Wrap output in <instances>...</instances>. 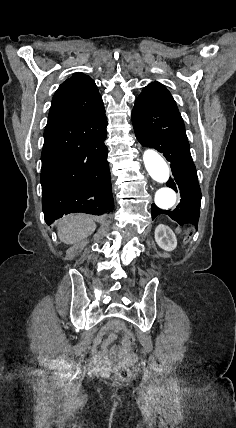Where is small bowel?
Segmentation results:
<instances>
[{"mask_svg": "<svg viewBox=\"0 0 236 428\" xmlns=\"http://www.w3.org/2000/svg\"><path fill=\"white\" fill-rule=\"evenodd\" d=\"M124 331L125 326L123 322L113 319L98 332L94 339L92 355L99 365L105 368L109 367L117 358L123 359L125 362L134 360V356L128 353L124 345H113L110 350L107 349L116 340L117 334Z\"/></svg>", "mask_w": 236, "mask_h": 428, "instance_id": "1", "label": "small bowel"}]
</instances>
